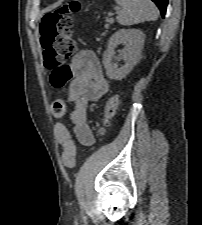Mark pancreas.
<instances>
[{
    "instance_id": "obj_1",
    "label": "pancreas",
    "mask_w": 202,
    "mask_h": 225,
    "mask_svg": "<svg viewBox=\"0 0 202 225\" xmlns=\"http://www.w3.org/2000/svg\"><path fill=\"white\" fill-rule=\"evenodd\" d=\"M106 22L110 23V22L108 21V19H106ZM105 28H108V24L105 25Z\"/></svg>"
}]
</instances>
